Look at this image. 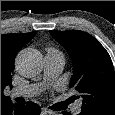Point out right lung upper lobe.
<instances>
[{"mask_svg": "<svg viewBox=\"0 0 115 115\" xmlns=\"http://www.w3.org/2000/svg\"><path fill=\"white\" fill-rule=\"evenodd\" d=\"M35 35L36 32L1 35V106L11 101L10 97L3 94V90L11 86L16 54Z\"/></svg>", "mask_w": 115, "mask_h": 115, "instance_id": "obj_1", "label": "right lung upper lobe"}]
</instances>
